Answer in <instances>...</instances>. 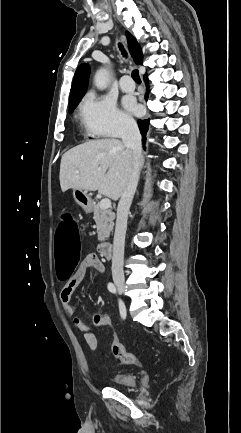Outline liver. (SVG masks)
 Masks as SVG:
<instances>
[{
	"mask_svg": "<svg viewBox=\"0 0 241 433\" xmlns=\"http://www.w3.org/2000/svg\"><path fill=\"white\" fill-rule=\"evenodd\" d=\"M133 171V151L118 139H100L67 151L60 164V186L97 191L118 200Z\"/></svg>",
	"mask_w": 241,
	"mask_h": 433,
	"instance_id": "6515ba94",
	"label": "liver"
}]
</instances>
